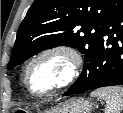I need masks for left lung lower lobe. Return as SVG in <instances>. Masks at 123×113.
Instances as JSON below:
<instances>
[{"label":"left lung lower lobe","mask_w":123,"mask_h":113,"mask_svg":"<svg viewBox=\"0 0 123 113\" xmlns=\"http://www.w3.org/2000/svg\"><path fill=\"white\" fill-rule=\"evenodd\" d=\"M112 85H123V0L111 1L87 71L63 96Z\"/></svg>","instance_id":"left-lung-lower-lobe-1"}]
</instances>
